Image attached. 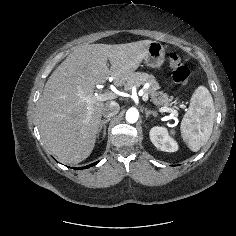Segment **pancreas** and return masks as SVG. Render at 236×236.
Listing matches in <instances>:
<instances>
[{"instance_id": "cf45deb5", "label": "pancreas", "mask_w": 236, "mask_h": 236, "mask_svg": "<svg viewBox=\"0 0 236 236\" xmlns=\"http://www.w3.org/2000/svg\"><path fill=\"white\" fill-rule=\"evenodd\" d=\"M145 83H149L150 85L146 90V93L151 96V100L156 106H169L171 104L172 98L168 97V95L162 91H158L160 88L158 82L153 75L148 73H133L125 85V90L129 91L133 86H140Z\"/></svg>"}]
</instances>
